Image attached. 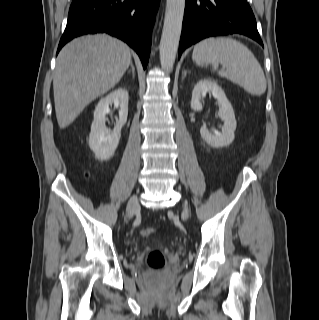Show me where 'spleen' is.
<instances>
[{"label": "spleen", "instance_id": "1", "mask_svg": "<svg viewBox=\"0 0 319 320\" xmlns=\"http://www.w3.org/2000/svg\"><path fill=\"white\" fill-rule=\"evenodd\" d=\"M197 65L222 64L226 70L218 74L241 86L251 95L260 96L267 88L263 69L254 54L241 42L227 37H209L194 47Z\"/></svg>", "mask_w": 319, "mask_h": 320}]
</instances>
